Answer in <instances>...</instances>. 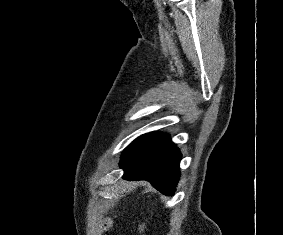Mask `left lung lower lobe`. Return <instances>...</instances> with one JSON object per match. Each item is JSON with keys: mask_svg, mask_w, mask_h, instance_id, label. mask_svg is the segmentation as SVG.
I'll return each mask as SVG.
<instances>
[{"mask_svg": "<svg viewBox=\"0 0 283 235\" xmlns=\"http://www.w3.org/2000/svg\"><path fill=\"white\" fill-rule=\"evenodd\" d=\"M181 154L168 134H145L123 152L124 179L146 180L165 195H173L179 179Z\"/></svg>", "mask_w": 283, "mask_h": 235, "instance_id": "left-lung-lower-lobe-1", "label": "left lung lower lobe"}]
</instances>
